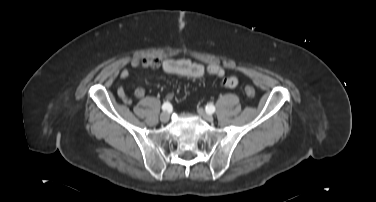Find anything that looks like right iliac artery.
Returning a JSON list of instances; mask_svg holds the SVG:
<instances>
[{
	"mask_svg": "<svg viewBox=\"0 0 376 202\" xmlns=\"http://www.w3.org/2000/svg\"><path fill=\"white\" fill-rule=\"evenodd\" d=\"M171 104L169 103V102H165L163 105H162V109L164 110V111H168V110H170L171 109Z\"/></svg>",
	"mask_w": 376,
	"mask_h": 202,
	"instance_id": "82829eb1",
	"label": "right iliac artery"
}]
</instances>
